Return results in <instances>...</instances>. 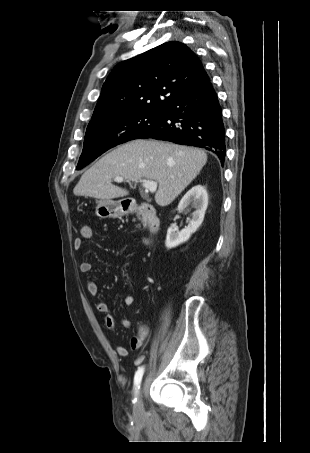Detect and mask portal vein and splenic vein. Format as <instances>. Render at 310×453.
<instances>
[{
	"mask_svg": "<svg viewBox=\"0 0 310 453\" xmlns=\"http://www.w3.org/2000/svg\"><path fill=\"white\" fill-rule=\"evenodd\" d=\"M123 180V177H114L115 182L120 183L123 182ZM142 186L151 193H154L157 190V182L153 180H142Z\"/></svg>",
	"mask_w": 310,
	"mask_h": 453,
	"instance_id": "obj_1",
	"label": "portal vein and splenic vein"
}]
</instances>
